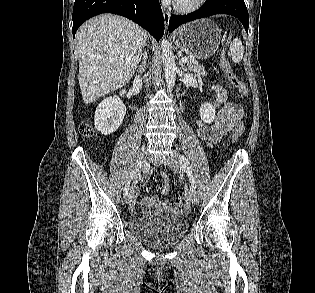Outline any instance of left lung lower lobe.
I'll list each match as a JSON object with an SVG mask.
<instances>
[{"label": "left lung lower lobe", "mask_w": 315, "mask_h": 293, "mask_svg": "<svg viewBox=\"0 0 315 293\" xmlns=\"http://www.w3.org/2000/svg\"><path fill=\"white\" fill-rule=\"evenodd\" d=\"M215 14L235 16L248 32L249 17L244 0H206L205 4L195 12L187 15H172L169 20V32H172L183 23Z\"/></svg>", "instance_id": "1"}]
</instances>
